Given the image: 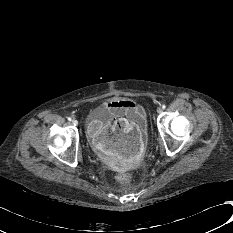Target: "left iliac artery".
<instances>
[{
	"mask_svg": "<svg viewBox=\"0 0 233 233\" xmlns=\"http://www.w3.org/2000/svg\"><path fill=\"white\" fill-rule=\"evenodd\" d=\"M162 108L165 109V108H166V105H162Z\"/></svg>",
	"mask_w": 233,
	"mask_h": 233,
	"instance_id": "left-iliac-artery-1",
	"label": "left iliac artery"
}]
</instances>
